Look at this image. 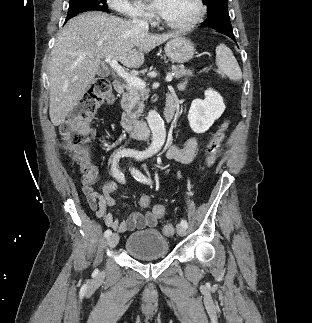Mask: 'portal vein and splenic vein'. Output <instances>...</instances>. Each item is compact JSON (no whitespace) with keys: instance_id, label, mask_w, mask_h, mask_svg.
<instances>
[{"instance_id":"portal-vein-and-splenic-vein-1","label":"portal vein and splenic vein","mask_w":312,"mask_h":323,"mask_svg":"<svg viewBox=\"0 0 312 323\" xmlns=\"http://www.w3.org/2000/svg\"><path fill=\"white\" fill-rule=\"evenodd\" d=\"M109 66H111L112 70L118 74V76H121V78H124L130 86H135V88H146L145 82L143 80H140V78H136V76H131V74H128V72H125L124 68L116 62V60H107ZM174 74H170V76H167L166 82H171Z\"/></svg>"}]
</instances>
